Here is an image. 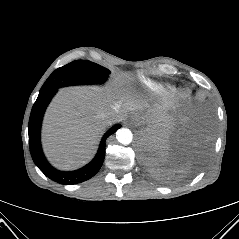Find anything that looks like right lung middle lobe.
I'll return each instance as SVG.
<instances>
[{"label":"right lung middle lobe","mask_w":239,"mask_h":239,"mask_svg":"<svg viewBox=\"0 0 239 239\" xmlns=\"http://www.w3.org/2000/svg\"><path fill=\"white\" fill-rule=\"evenodd\" d=\"M110 74L107 68L88 60H76L56 69L45 81L39 93L64 86L80 84H100Z\"/></svg>","instance_id":"1"}]
</instances>
